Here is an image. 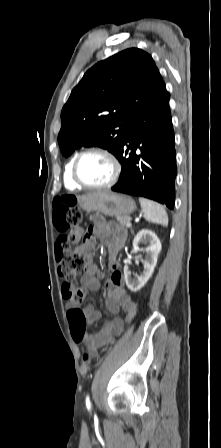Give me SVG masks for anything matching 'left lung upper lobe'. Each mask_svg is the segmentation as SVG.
Here are the masks:
<instances>
[{
    "instance_id": "5c2ea615",
    "label": "left lung upper lobe",
    "mask_w": 221,
    "mask_h": 448,
    "mask_svg": "<svg viewBox=\"0 0 221 448\" xmlns=\"http://www.w3.org/2000/svg\"><path fill=\"white\" fill-rule=\"evenodd\" d=\"M164 89L152 57L141 49H126L98 62L62 109L58 142L63 156L81 146H99L117 157L132 122Z\"/></svg>"
}]
</instances>
